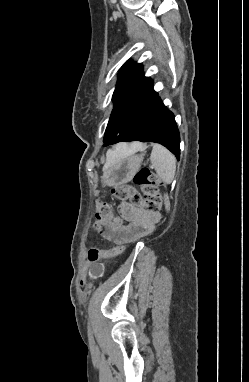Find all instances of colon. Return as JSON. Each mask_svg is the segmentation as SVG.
<instances>
[{"label":"colon","instance_id":"1","mask_svg":"<svg viewBox=\"0 0 249 382\" xmlns=\"http://www.w3.org/2000/svg\"><path fill=\"white\" fill-rule=\"evenodd\" d=\"M134 183L141 188L142 194L132 185H120L112 189V195L131 205L141 207L148 212L158 213L163 207V196L160 193L155 174L148 168H141L134 176ZM96 216L111 217V209L105 202L99 201L96 206ZM125 249L124 244H118L110 249L89 248L87 259L94 263L101 258H111L120 255Z\"/></svg>","mask_w":249,"mask_h":382}]
</instances>
